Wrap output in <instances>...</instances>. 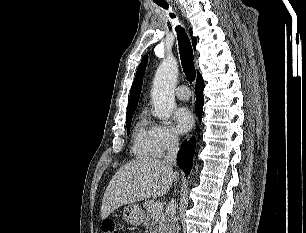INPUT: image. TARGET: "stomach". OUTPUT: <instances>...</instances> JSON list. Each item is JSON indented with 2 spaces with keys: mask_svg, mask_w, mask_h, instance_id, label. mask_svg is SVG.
I'll return each mask as SVG.
<instances>
[{
  "mask_svg": "<svg viewBox=\"0 0 306 233\" xmlns=\"http://www.w3.org/2000/svg\"><path fill=\"white\" fill-rule=\"evenodd\" d=\"M123 217L129 224L138 226L143 222L144 213L140 206L130 204L124 208Z\"/></svg>",
  "mask_w": 306,
  "mask_h": 233,
  "instance_id": "stomach-1",
  "label": "stomach"
}]
</instances>
